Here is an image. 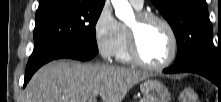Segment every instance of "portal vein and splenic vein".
I'll use <instances>...</instances> for the list:
<instances>
[{
	"label": "portal vein and splenic vein",
	"mask_w": 221,
	"mask_h": 102,
	"mask_svg": "<svg viewBox=\"0 0 221 102\" xmlns=\"http://www.w3.org/2000/svg\"><path fill=\"white\" fill-rule=\"evenodd\" d=\"M91 102H95V98H92Z\"/></svg>",
	"instance_id": "obj_1"
}]
</instances>
